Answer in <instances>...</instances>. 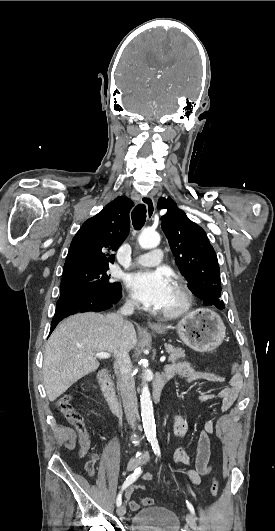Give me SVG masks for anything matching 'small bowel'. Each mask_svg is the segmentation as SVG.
I'll return each instance as SVG.
<instances>
[{
    "mask_svg": "<svg viewBox=\"0 0 275 531\" xmlns=\"http://www.w3.org/2000/svg\"><path fill=\"white\" fill-rule=\"evenodd\" d=\"M165 372H167L170 377L178 375L187 383L211 382L221 384L225 381L221 374L195 370L186 362L168 364L165 367ZM241 387L242 376L240 374H234L231 377L228 386L220 390L218 393L203 392L199 395V400L201 402H209L215 398H220L222 400L221 410L227 411L238 399ZM214 428L215 423L213 420H208L205 422L203 429L198 435L195 456H192L185 448H178L172 454L173 465L179 472L188 477L195 485H199L201 482V477L208 475L211 471V443L209 435L214 432ZM187 430V423L180 416H177L174 421V434L177 437H183L186 435ZM88 449L89 447H87L86 452ZM98 458L99 457L97 454H93L91 457V459H96L97 461ZM190 466H193V468H189ZM143 479L150 480L151 475L146 473L143 475ZM133 494V486H129L124 490V498L128 503L130 511L137 512L141 509V507H150L153 505L152 499L147 497L141 498L139 500L133 499Z\"/></svg>",
    "mask_w": 275,
    "mask_h": 531,
    "instance_id": "1",
    "label": "small bowel"
}]
</instances>
